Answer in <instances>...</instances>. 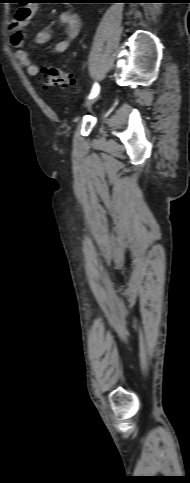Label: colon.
<instances>
[{
    "label": "colon",
    "instance_id": "colon-1",
    "mask_svg": "<svg viewBox=\"0 0 190 483\" xmlns=\"http://www.w3.org/2000/svg\"><path fill=\"white\" fill-rule=\"evenodd\" d=\"M32 3H35V1ZM42 82L48 86H57L65 89L72 84L73 79L61 68L53 65H46L42 70Z\"/></svg>",
    "mask_w": 190,
    "mask_h": 483
}]
</instances>
